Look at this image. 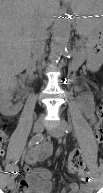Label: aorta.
<instances>
[{"mask_svg":"<svg viewBox=\"0 0 103 193\" xmlns=\"http://www.w3.org/2000/svg\"><path fill=\"white\" fill-rule=\"evenodd\" d=\"M71 22L70 19L63 14L60 16L54 27V36L51 45V61L57 62L65 53L70 39Z\"/></svg>","mask_w":103,"mask_h":193,"instance_id":"762f6f07","label":"aorta"}]
</instances>
